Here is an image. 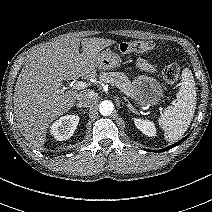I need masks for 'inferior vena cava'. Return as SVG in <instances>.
I'll use <instances>...</instances> for the list:
<instances>
[{"label":"inferior vena cava","mask_w":212,"mask_h":212,"mask_svg":"<svg viewBox=\"0 0 212 212\" xmlns=\"http://www.w3.org/2000/svg\"><path fill=\"white\" fill-rule=\"evenodd\" d=\"M77 100L79 101V104L85 107H89L91 105H94L98 100V95L94 91H87L81 93Z\"/></svg>","instance_id":"inferior-vena-cava-1"}]
</instances>
